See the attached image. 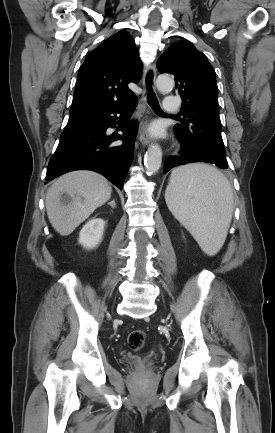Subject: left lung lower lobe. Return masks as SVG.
Returning a JSON list of instances; mask_svg holds the SVG:
<instances>
[{
	"instance_id": "1",
	"label": "left lung lower lobe",
	"mask_w": 275,
	"mask_h": 433,
	"mask_svg": "<svg viewBox=\"0 0 275 433\" xmlns=\"http://www.w3.org/2000/svg\"><path fill=\"white\" fill-rule=\"evenodd\" d=\"M182 157L172 156L169 157L164 165V173H167L170 169L176 166H180L187 163H193L196 162L194 159L189 157L184 150L182 149Z\"/></svg>"
}]
</instances>
